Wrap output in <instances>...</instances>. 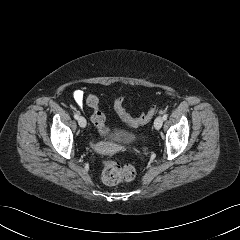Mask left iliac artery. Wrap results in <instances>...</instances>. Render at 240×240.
<instances>
[{
	"label": "left iliac artery",
	"mask_w": 240,
	"mask_h": 240,
	"mask_svg": "<svg viewBox=\"0 0 240 240\" xmlns=\"http://www.w3.org/2000/svg\"><path fill=\"white\" fill-rule=\"evenodd\" d=\"M167 117H168V114H164V115H163V120H166Z\"/></svg>",
	"instance_id": "1"
}]
</instances>
